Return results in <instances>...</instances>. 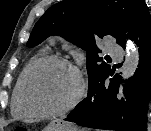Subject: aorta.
Wrapping results in <instances>:
<instances>
[{
    "instance_id": "aorta-1",
    "label": "aorta",
    "mask_w": 151,
    "mask_h": 131,
    "mask_svg": "<svg viewBox=\"0 0 151 131\" xmlns=\"http://www.w3.org/2000/svg\"><path fill=\"white\" fill-rule=\"evenodd\" d=\"M139 65V52L133 44H127V55L121 68L122 79L127 80L132 77Z\"/></svg>"
}]
</instances>
